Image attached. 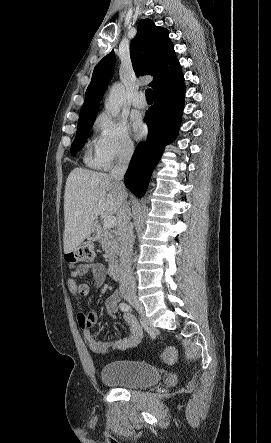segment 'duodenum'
Instances as JSON below:
<instances>
[{"mask_svg": "<svg viewBox=\"0 0 271 443\" xmlns=\"http://www.w3.org/2000/svg\"><path fill=\"white\" fill-rule=\"evenodd\" d=\"M109 271L110 274L115 277L118 278L120 276V264L118 261H111L109 264Z\"/></svg>", "mask_w": 271, "mask_h": 443, "instance_id": "1", "label": "duodenum"}]
</instances>
